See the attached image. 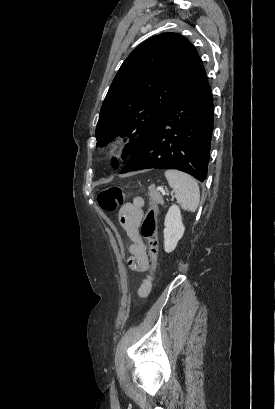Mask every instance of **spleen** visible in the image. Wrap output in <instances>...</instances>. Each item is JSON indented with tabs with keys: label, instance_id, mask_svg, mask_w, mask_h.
<instances>
[{
	"label": "spleen",
	"instance_id": "spleen-1",
	"mask_svg": "<svg viewBox=\"0 0 275 409\" xmlns=\"http://www.w3.org/2000/svg\"><path fill=\"white\" fill-rule=\"evenodd\" d=\"M165 176L169 182V186L173 188L177 202H179L182 209L194 213L200 200L197 180H195L193 176H190V174L181 172V170H166Z\"/></svg>",
	"mask_w": 275,
	"mask_h": 409
}]
</instances>
